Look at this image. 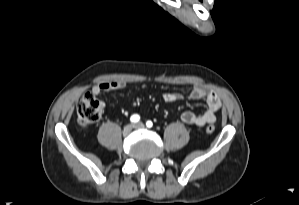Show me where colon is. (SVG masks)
<instances>
[{
    "label": "colon",
    "mask_w": 299,
    "mask_h": 205,
    "mask_svg": "<svg viewBox=\"0 0 299 205\" xmlns=\"http://www.w3.org/2000/svg\"><path fill=\"white\" fill-rule=\"evenodd\" d=\"M104 104L92 93H86L80 97L77 103V123L81 127H88L96 123L102 116ZM214 125H208L206 132L212 134Z\"/></svg>",
    "instance_id": "1"
}]
</instances>
